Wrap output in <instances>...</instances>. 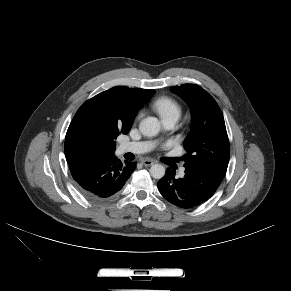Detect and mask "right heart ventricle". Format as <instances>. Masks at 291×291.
<instances>
[{
    "mask_svg": "<svg viewBox=\"0 0 291 291\" xmlns=\"http://www.w3.org/2000/svg\"><path fill=\"white\" fill-rule=\"evenodd\" d=\"M153 109L159 114L162 120L178 118L181 114V105L170 96H159L152 103Z\"/></svg>",
    "mask_w": 291,
    "mask_h": 291,
    "instance_id": "1",
    "label": "right heart ventricle"
}]
</instances>
